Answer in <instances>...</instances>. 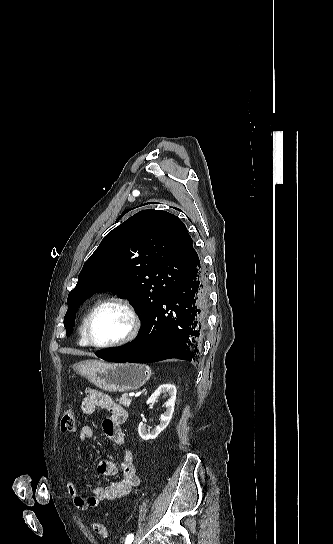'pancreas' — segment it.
<instances>
[{
    "instance_id": "pancreas-1",
    "label": "pancreas",
    "mask_w": 333,
    "mask_h": 544,
    "mask_svg": "<svg viewBox=\"0 0 333 544\" xmlns=\"http://www.w3.org/2000/svg\"><path fill=\"white\" fill-rule=\"evenodd\" d=\"M116 402L128 408L131 405L132 399L127 398L126 395H123L120 399H116Z\"/></svg>"
}]
</instances>
